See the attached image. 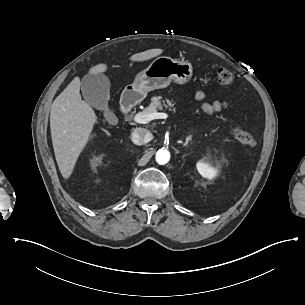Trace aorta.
I'll return each mask as SVG.
<instances>
[{"mask_svg":"<svg viewBox=\"0 0 305 305\" xmlns=\"http://www.w3.org/2000/svg\"><path fill=\"white\" fill-rule=\"evenodd\" d=\"M155 158L159 165H164L170 160V152L166 149H160L157 151Z\"/></svg>","mask_w":305,"mask_h":305,"instance_id":"1","label":"aorta"}]
</instances>
